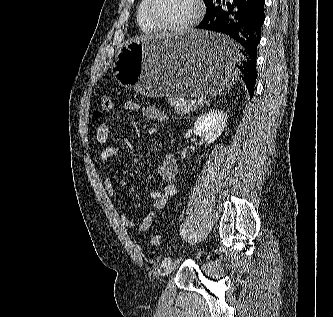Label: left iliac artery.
<instances>
[{"instance_id": "44dca946", "label": "left iliac artery", "mask_w": 333, "mask_h": 317, "mask_svg": "<svg viewBox=\"0 0 333 317\" xmlns=\"http://www.w3.org/2000/svg\"><path fill=\"white\" fill-rule=\"evenodd\" d=\"M180 234L182 236L185 235V225L182 224L181 228H180ZM171 262V259L169 257H166L163 261H162V266H166L167 264H169Z\"/></svg>"}]
</instances>
